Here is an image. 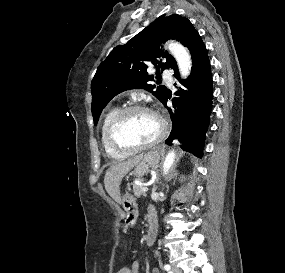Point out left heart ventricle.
<instances>
[{
    "instance_id": "b2bd125f",
    "label": "left heart ventricle",
    "mask_w": 285,
    "mask_h": 273,
    "mask_svg": "<svg viewBox=\"0 0 285 273\" xmlns=\"http://www.w3.org/2000/svg\"><path fill=\"white\" fill-rule=\"evenodd\" d=\"M159 129V123L152 114L138 111L124 118L117 136L125 145H140L153 140L158 135Z\"/></svg>"
}]
</instances>
